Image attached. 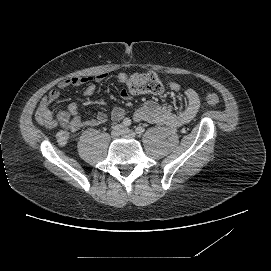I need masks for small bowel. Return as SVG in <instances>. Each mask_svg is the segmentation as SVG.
I'll list each match as a JSON object with an SVG mask.
<instances>
[{
	"label": "small bowel",
	"instance_id": "obj_1",
	"mask_svg": "<svg viewBox=\"0 0 271 271\" xmlns=\"http://www.w3.org/2000/svg\"><path fill=\"white\" fill-rule=\"evenodd\" d=\"M107 78L106 74H98L93 77H71L61 81L56 89L51 90L44 96L40 102L37 114L41 116L44 123L48 127H54L57 123L63 128V131L57 135V140L60 145H63L67 140L69 133H76L85 127L97 126L107 120V115L99 112L93 118L82 120L79 114L77 104L71 103L67 109H59L57 120H55L50 111V105L54 103L60 96V91L67 89L71 86L85 85L83 95L85 97L91 96L95 90V83L104 81ZM127 75L120 73L118 76L119 81L123 84L126 81ZM171 90L178 92L181 87L176 82H169ZM121 96L128 100L131 96L125 89L121 91ZM186 100L185 107L176 111L172 105H159L154 101L144 103L139 109L133 113V119L137 122H148L157 125L179 127L188 124L197 114L200 108V98L198 94L192 90L187 89L184 91ZM125 111L120 107H114L111 111V116L114 120H119L124 117Z\"/></svg>",
	"mask_w": 271,
	"mask_h": 271
}]
</instances>
